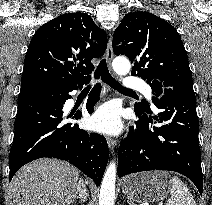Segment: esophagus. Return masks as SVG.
<instances>
[{"label":"esophagus","instance_id":"1","mask_svg":"<svg viewBox=\"0 0 212 205\" xmlns=\"http://www.w3.org/2000/svg\"><path fill=\"white\" fill-rule=\"evenodd\" d=\"M106 59H107V62L109 64V66H110L111 65V61L113 59V47H112V39H111V37L108 40V45H107V50H106ZM107 143H108V146H109L110 150L113 151L115 146H116V144H117V140L112 138V137H108L107 138Z\"/></svg>","mask_w":212,"mask_h":205}]
</instances>
